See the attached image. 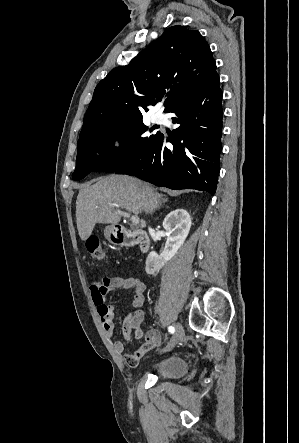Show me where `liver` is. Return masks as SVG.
Returning a JSON list of instances; mask_svg holds the SVG:
<instances>
[{"mask_svg": "<svg viewBox=\"0 0 299 443\" xmlns=\"http://www.w3.org/2000/svg\"><path fill=\"white\" fill-rule=\"evenodd\" d=\"M166 199L152 186L125 175L103 176L81 187L76 200V222L81 240L86 241L97 223L115 226L119 208L135 215L152 214Z\"/></svg>", "mask_w": 299, "mask_h": 443, "instance_id": "1", "label": "liver"}]
</instances>
